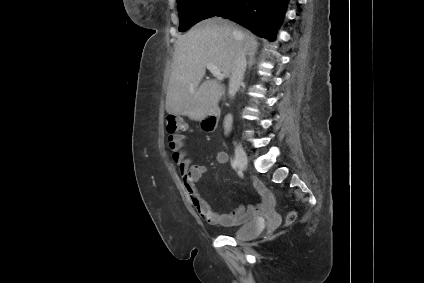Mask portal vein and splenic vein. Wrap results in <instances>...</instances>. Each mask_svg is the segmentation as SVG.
I'll use <instances>...</instances> for the list:
<instances>
[{
  "label": "portal vein and splenic vein",
  "instance_id": "18ae733b",
  "mask_svg": "<svg viewBox=\"0 0 424 283\" xmlns=\"http://www.w3.org/2000/svg\"><path fill=\"white\" fill-rule=\"evenodd\" d=\"M206 68L214 75L217 80H222L224 75L221 73L220 69L213 63H207Z\"/></svg>",
  "mask_w": 424,
  "mask_h": 283
}]
</instances>
